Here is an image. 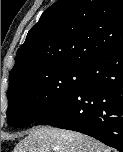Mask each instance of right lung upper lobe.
Returning <instances> with one entry per match:
<instances>
[{
	"mask_svg": "<svg viewBox=\"0 0 123 152\" xmlns=\"http://www.w3.org/2000/svg\"><path fill=\"white\" fill-rule=\"evenodd\" d=\"M123 44V0H58L18 49L9 88L24 76L62 67L84 69Z\"/></svg>",
	"mask_w": 123,
	"mask_h": 152,
	"instance_id": "obj_1",
	"label": "right lung upper lobe"
}]
</instances>
